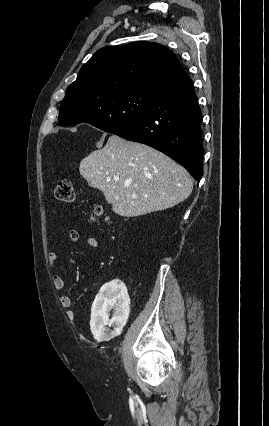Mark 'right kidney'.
Listing matches in <instances>:
<instances>
[{
  "mask_svg": "<svg viewBox=\"0 0 269 426\" xmlns=\"http://www.w3.org/2000/svg\"><path fill=\"white\" fill-rule=\"evenodd\" d=\"M129 296L122 281H111L105 284L96 296L91 309L90 328L97 341L111 338L107 325L119 326L122 317L129 310ZM115 308L113 317L109 319V311Z\"/></svg>",
  "mask_w": 269,
  "mask_h": 426,
  "instance_id": "obj_1",
  "label": "right kidney"
}]
</instances>
